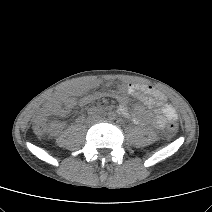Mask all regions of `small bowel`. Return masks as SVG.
Masks as SVG:
<instances>
[{"mask_svg":"<svg viewBox=\"0 0 212 212\" xmlns=\"http://www.w3.org/2000/svg\"><path fill=\"white\" fill-rule=\"evenodd\" d=\"M110 83L102 81H93L89 83H81L74 87L58 93L51 103V110L61 116H66L70 110L76 105H88L95 100L103 97H110L118 102V114L129 116L128 97L127 95L141 99L147 105L158 104L160 106V115L152 116L143 107L137 106L133 114V120L137 124L146 125L152 124L156 128L165 127L168 121L177 119L176 109L166 101L165 95L152 86L140 85L135 83L123 84L119 86V91L96 90L97 88H109ZM82 118L79 117L78 121ZM63 128V124L58 123L53 126V133H59Z\"/></svg>","mask_w":212,"mask_h":212,"instance_id":"1","label":"small bowel"}]
</instances>
